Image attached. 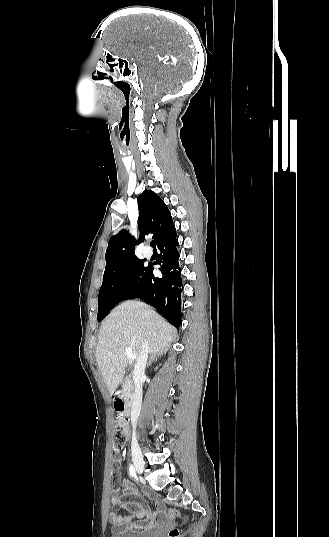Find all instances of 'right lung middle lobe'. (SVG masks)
Masks as SVG:
<instances>
[{
	"label": "right lung middle lobe",
	"instance_id": "1",
	"mask_svg": "<svg viewBox=\"0 0 329 537\" xmlns=\"http://www.w3.org/2000/svg\"><path fill=\"white\" fill-rule=\"evenodd\" d=\"M144 271L143 260L138 258L106 266L98 296V321H101L114 305L129 297L140 283Z\"/></svg>",
	"mask_w": 329,
	"mask_h": 537
}]
</instances>
